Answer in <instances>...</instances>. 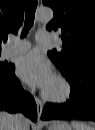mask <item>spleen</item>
Masks as SVG:
<instances>
[{
    "instance_id": "1",
    "label": "spleen",
    "mask_w": 95,
    "mask_h": 130,
    "mask_svg": "<svg viewBox=\"0 0 95 130\" xmlns=\"http://www.w3.org/2000/svg\"><path fill=\"white\" fill-rule=\"evenodd\" d=\"M71 126L74 130H94V128L88 125L86 122L74 120L71 122Z\"/></svg>"
}]
</instances>
